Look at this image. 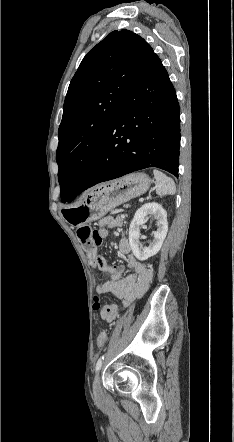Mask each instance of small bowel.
Instances as JSON below:
<instances>
[{
  "label": "small bowel",
  "instance_id": "1",
  "mask_svg": "<svg viewBox=\"0 0 234 442\" xmlns=\"http://www.w3.org/2000/svg\"><path fill=\"white\" fill-rule=\"evenodd\" d=\"M123 223L120 215H112L100 220L101 228L97 231L101 240L108 237V228L118 227ZM120 254L126 260V267L130 273H123L122 266L108 265L106 259L96 253L90 254L89 258L93 266L100 272L106 273L109 277L96 285L98 294L112 293L122 301V308L126 307L135 298L141 297L148 289L152 279L149 267L136 260L131 254V244L126 237H122L118 244ZM119 316V307L116 304L105 305L100 314L96 315L98 323L113 322Z\"/></svg>",
  "mask_w": 234,
  "mask_h": 442
}]
</instances>
